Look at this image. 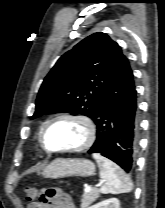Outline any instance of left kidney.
<instances>
[{"label":"left kidney","mask_w":165,"mask_h":208,"mask_svg":"<svg viewBox=\"0 0 165 208\" xmlns=\"http://www.w3.org/2000/svg\"><path fill=\"white\" fill-rule=\"evenodd\" d=\"M89 208H120V201L117 198H110L101 201Z\"/></svg>","instance_id":"1"}]
</instances>
